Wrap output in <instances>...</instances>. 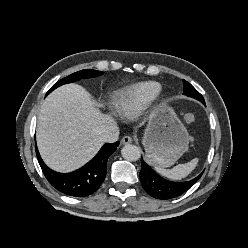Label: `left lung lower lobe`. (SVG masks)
<instances>
[{
	"label": "left lung lower lobe",
	"mask_w": 248,
	"mask_h": 248,
	"mask_svg": "<svg viewBox=\"0 0 248 248\" xmlns=\"http://www.w3.org/2000/svg\"><path fill=\"white\" fill-rule=\"evenodd\" d=\"M140 181L145 191L157 199H171L182 195L191 188L202 176L203 172L196 178L186 182H172L159 176L149 165L141 160Z\"/></svg>",
	"instance_id": "obj_1"
}]
</instances>
